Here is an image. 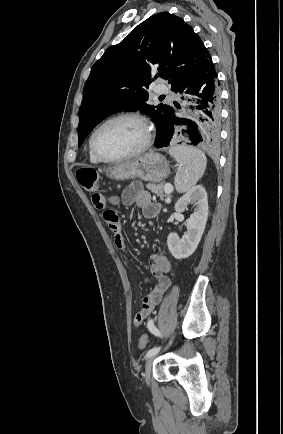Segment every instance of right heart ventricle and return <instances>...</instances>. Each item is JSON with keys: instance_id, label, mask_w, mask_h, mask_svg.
<instances>
[{"instance_id": "right-heart-ventricle-1", "label": "right heart ventricle", "mask_w": 283, "mask_h": 434, "mask_svg": "<svg viewBox=\"0 0 283 434\" xmlns=\"http://www.w3.org/2000/svg\"><path fill=\"white\" fill-rule=\"evenodd\" d=\"M89 158L93 163L99 162V160L92 154L90 149H89Z\"/></svg>"}]
</instances>
